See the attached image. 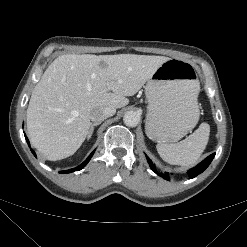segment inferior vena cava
Here are the masks:
<instances>
[{
    "label": "inferior vena cava",
    "instance_id": "602c4592",
    "mask_svg": "<svg viewBox=\"0 0 247 247\" xmlns=\"http://www.w3.org/2000/svg\"><path fill=\"white\" fill-rule=\"evenodd\" d=\"M116 113V109L114 107H104V108H96L90 114V119L94 123H101L108 117L113 116Z\"/></svg>",
    "mask_w": 247,
    "mask_h": 247
}]
</instances>
